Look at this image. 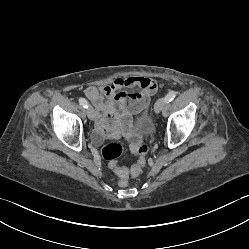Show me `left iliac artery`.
I'll return each mask as SVG.
<instances>
[{"label": "left iliac artery", "mask_w": 249, "mask_h": 249, "mask_svg": "<svg viewBox=\"0 0 249 249\" xmlns=\"http://www.w3.org/2000/svg\"><path fill=\"white\" fill-rule=\"evenodd\" d=\"M175 97H176V92H175V91L169 92V93L165 96L166 102H167V103L171 102Z\"/></svg>", "instance_id": "1"}]
</instances>
